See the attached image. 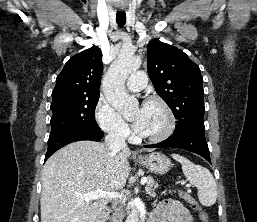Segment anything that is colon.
<instances>
[{"mask_svg": "<svg viewBox=\"0 0 257 222\" xmlns=\"http://www.w3.org/2000/svg\"><path fill=\"white\" fill-rule=\"evenodd\" d=\"M180 196L183 200L194 205L198 209L200 218L202 219V222H208L207 215L195 205V201L189 193H187L186 191H180Z\"/></svg>", "mask_w": 257, "mask_h": 222, "instance_id": "1", "label": "colon"}]
</instances>
